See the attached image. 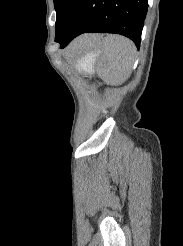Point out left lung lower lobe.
Segmentation results:
<instances>
[{
  "mask_svg": "<svg viewBox=\"0 0 183 246\" xmlns=\"http://www.w3.org/2000/svg\"><path fill=\"white\" fill-rule=\"evenodd\" d=\"M148 0H75L56 33L60 48L82 33H116L140 46Z\"/></svg>",
  "mask_w": 183,
  "mask_h": 246,
  "instance_id": "0a47b994",
  "label": "left lung lower lobe"
}]
</instances>
